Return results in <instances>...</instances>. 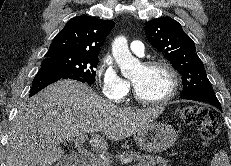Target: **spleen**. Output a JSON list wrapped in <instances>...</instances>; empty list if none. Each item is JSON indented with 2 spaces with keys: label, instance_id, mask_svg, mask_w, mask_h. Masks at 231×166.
I'll list each match as a JSON object with an SVG mask.
<instances>
[{
  "label": "spleen",
  "instance_id": "spleen-1",
  "mask_svg": "<svg viewBox=\"0 0 231 166\" xmlns=\"http://www.w3.org/2000/svg\"><path fill=\"white\" fill-rule=\"evenodd\" d=\"M211 166H230L227 154L224 151H219L213 158Z\"/></svg>",
  "mask_w": 231,
  "mask_h": 166
}]
</instances>
